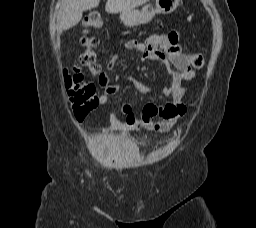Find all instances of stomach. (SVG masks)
Here are the masks:
<instances>
[{"instance_id": "1", "label": "stomach", "mask_w": 256, "mask_h": 228, "mask_svg": "<svg viewBox=\"0 0 256 228\" xmlns=\"http://www.w3.org/2000/svg\"><path fill=\"white\" fill-rule=\"evenodd\" d=\"M180 0H155V6L146 4L141 10L131 8L120 12V20L127 27H135L150 22L156 13L169 14L178 6Z\"/></svg>"}]
</instances>
